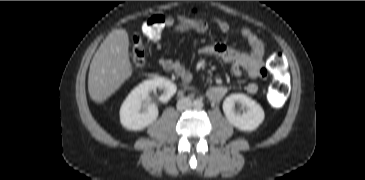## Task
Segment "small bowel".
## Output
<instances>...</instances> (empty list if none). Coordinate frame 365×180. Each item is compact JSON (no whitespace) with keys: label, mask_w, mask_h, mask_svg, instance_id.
Wrapping results in <instances>:
<instances>
[{"label":"small bowel","mask_w":365,"mask_h":180,"mask_svg":"<svg viewBox=\"0 0 365 180\" xmlns=\"http://www.w3.org/2000/svg\"><path fill=\"white\" fill-rule=\"evenodd\" d=\"M215 23L219 30L227 33L230 25L223 19H215ZM165 25L171 28L173 33H184L194 31L199 34L207 32L208 25L203 20H194L185 15L168 16L165 18ZM240 34L250 47L249 52H243L223 43L205 44L199 48V53L203 56L216 57L230 65V71L234 76H241L243 72H247L250 81L245 86V91L254 95L258 92L257 80L266 77V56L262 40L254 34L248 27H242ZM157 49H162V42L156 41ZM159 65L167 71L174 72L184 82H190L191 73L185 66L179 62L169 58L161 57ZM226 94L223 86H211L207 89V96L211 101H219Z\"/></svg>","instance_id":"obj_1"}]
</instances>
